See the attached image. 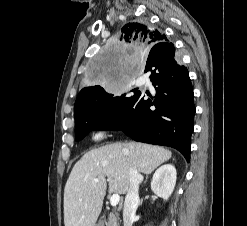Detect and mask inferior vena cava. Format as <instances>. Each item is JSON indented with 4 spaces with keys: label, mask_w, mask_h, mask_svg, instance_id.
Segmentation results:
<instances>
[{
    "label": "inferior vena cava",
    "mask_w": 247,
    "mask_h": 226,
    "mask_svg": "<svg viewBox=\"0 0 247 226\" xmlns=\"http://www.w3.org/2000/svg\"><path fill=\"white\" fill-rule=\"evenodd\" d=\"M130 185L125 197L123 208V223L124 226H132L135 213L139 204V184L142 181V176L136 168L131 167L129 170Z\"/></svg>",
    "instance_id": "obj_1"
}]
</instances>
